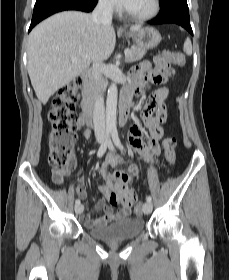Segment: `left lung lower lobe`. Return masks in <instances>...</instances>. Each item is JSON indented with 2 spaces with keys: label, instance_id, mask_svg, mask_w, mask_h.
Returning a JSON list of instances; mask_svg holds the SVG:
<instances>
[{
  "label": "left lung lower lobe",
  "instance_id": "obj_1",
  "mask_svg": "<svg viewBox=\"0 0 229 280\" xmlns=\"http://www.w3.org/2000/svg\"><path fill=\"white\" fill-rule=\"evenodd\" d=\"M148 23L153 25L165 23L178 24L193 35L187 0H168L162 4L160 14Z\"/></svg>",
  "mask_w": 229,
  "mask_h": 280
}]
</instances>
